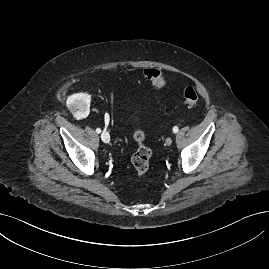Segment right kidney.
<instances>
[{"instance_id":"ca27d5eb","label":"right kidney","mask_w":269,"mask_h":269,"mask_svg":"<svg viewBox=\"0 0 269 269\" xmlns=\"http://www.w3.org/2000/svg\"><path fill=\"white\" fill-rule=\"evenodd\" d=\"M91 95L88 93H75L67 98V106L72 111H78V115L86 117L89 114Z\"/></svg>"}]
</instances>
